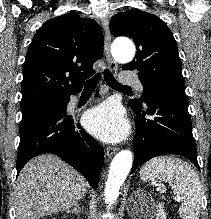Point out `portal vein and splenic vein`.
Segmentation results:
<instances>
[{"label":"portal vein and splenic vein","mask_w":211,"mask_h":219,"mask_svg":"<svg viewBox=\"0 0 211 219\" xmlns=\"http://www.w3.org/2000/svg\"><path fill=\"white\" fill-rule=\"evenodd\" d=\"M165 191H166V189L164 187L160 188V190H159L160 193H164ZM175 199H176V197H175Z\"/></svg>","instance_id":"18ae733b"}]
</instances>
